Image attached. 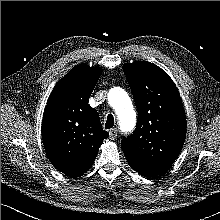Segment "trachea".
<instances>
[{
  "label": "trachea",
  "instance_id": "1",
  "mask_svg": "<svg viewBox=\"0 0 220 220\" xmlns=\"http://www.w3.org/2000/svg\"><path fill=\"white\" fill-rule=\"evenodd\" d=\"M114 126V117L112 114H109L105 121V129H110Z\"/></svg>",
  "mask_w": 220,
  "mask_h": 220
}]
</instances>
